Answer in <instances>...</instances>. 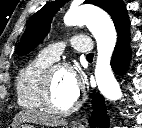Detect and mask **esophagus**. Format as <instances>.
I'll use <instances>...</instances> for the list:
<instances>
[{
	"instance_id": "obj_1",
	"label": "esophagus",
	"mask_w": 142,
	"mask_h": 128,
	"mask_svg": "<svg viewBox=\"0 0 142 128\" xmlns=\"http://www.w3.org/2000/svg\"><path fill=\"white\" fill-rule=\"evenodd\" d=\"M74 128H85V123H84V121L77 122V123L74 125Z\"/></svg>"
}]
</instances>
